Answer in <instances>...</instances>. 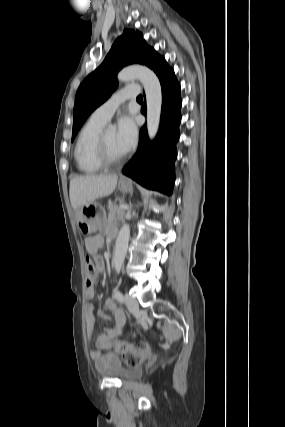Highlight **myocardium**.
I'll use <instances>...</instances> for the list:
<instances>
[{"mask_svg": "<svg viewBox=\"0 0 285 427\" xmlns=\"http://www.w3.org/2000/svg\"><path fill=\"white\" fill-rule=\"evenodd\" d=\"M95 154L98 162L103 167H111L116 166L124 162L127 158V154H124L120 157H112L107 148L106 140H105V131H101L95 147Z\"/></svg>", "mask_w": 285, "mask_h": 427, "instance_id": "obj_1", "label": "myocardium"}]
</instances>
